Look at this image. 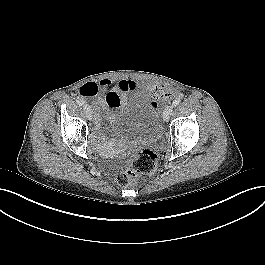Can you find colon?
<instances>
[{
	"label": "colon",
	"instance_id": "5ec220e1",
	"mask_svg": "<svg viewBox=\"0 0 265 265\" xmlns=\"http://www.w3.org/2000/svg\"><path fill=\"white\" fill-rule=\"evenodd\" d=\"M112 99H117L111 95ZM158 154L150 148L137 151L129 160L126 168L117 176V183L120 186H132L136 184L143 175L151 173L157 165Z\"/></svg>",
	"mask_w": 265,
	"mask_h": 265
}]
</instances>
